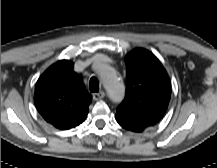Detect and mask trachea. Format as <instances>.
Instances as JSON below:
<instances>
[{"label":"trachea","mask_w":217,"mask_h":168,"mask_svg":"<svg viewBox=\"0 0 217 168\" xmlns=\"http://www.w3.org/2000/svg\"><path fill=\"white\" fill-rule=\"evenodd\" d=\"M89 89L91 92H98L99 91V82L96 77H92L89 83Z\"/></svg>","instance_id":"3493384b"}]
</instances>
